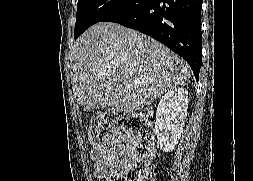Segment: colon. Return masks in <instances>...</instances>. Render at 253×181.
I'll return each instance as SVG.
<instances>
[{"mask_svg": "<svg viewBox=\"0 0 253 181\" xmlns=\"http://www.w3.org/2000/svg\"><path fill=\"white\" fill-rule=\"evenodd\" d=\"M89 137L99 148H110L122 140L129 143L119 170L107 181L146 180L154 156V133L148 118L119 111L102 113L92 120Z\"/></svg>", "mask_w": 253, "mask_h": 181, "instance_id": "colon-1", "label": "colon"}]
</instances>
